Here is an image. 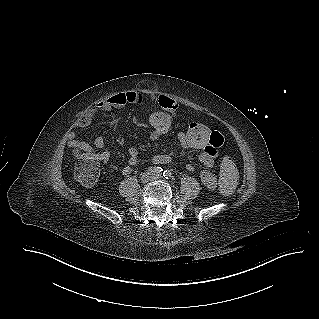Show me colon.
Instances as JSON below:
<instances>
[{"label": "colon", "mask_w": 319, "mask_h": 319, "mask_svg": "<svg viewBox=\"0 0 319 319\" xmlns=\"http://www.w3.org/2000/svg\"><path fill=\"white\" fill-rule=\"evenodd\" d=\"M172 113H164L163 109L152 113L149 124L153 132L163 135L171 131L174 120ZM212 127L205 121L188 123L182 132L184 143L193 149L203 150L210 144ZM77 158L74 175L86 186H92L98 179L100 166L97 158L90 149H74ZM237 182V168L231 157L226 156L221 162V179L219 190L222 194H230Z\"/></svg>", "instance_id": "5ec220e1"}]
</instances>
